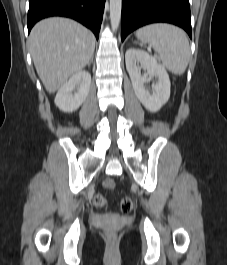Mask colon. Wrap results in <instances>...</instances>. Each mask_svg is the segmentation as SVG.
Wrapping results in <instances>:
<instances>
[{
    "instance_id": "colon-1",
    "label": "colon",
    "mask_w": 227,
    "mask_h": 265,
    "mask_svg": "<svg viewBox=\"0 0 227 265\" xmlns=\"http://www.w3.org/2000/svg\"><path fill=\"white\" fill-rule=\"evenodd\" d=\"M103 186L106 189H113L115 186L114 181L111 178H106L103 181ZM93 203L96 207L98 208H105L107 206V200L105 197H103L100 194H97L94 196L93 198ZM134 208V203L132 201V199L130 198H124L121 200L120 202V209L123 213H130ZM115 234L113 232H108L107 233V239L110 241L115 240Z\"/></svg>"
}]
</instances>
